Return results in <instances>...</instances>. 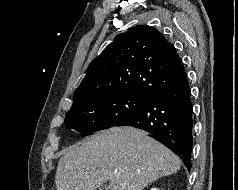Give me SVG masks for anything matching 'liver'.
<instances>
[{
    "label": "liver",
    "instance_id": "1",
    "mask_svg": "<svg viewBox=\"0 0 238 190\" xmlns=\"http://www.w3.org/2000/svg\"><path fill=\"white\" fill-rule=\"evenodd\" d=\"M180 159L133 127H113L63 151L55 175L57 190H143L175 174ZM117 170V171H116Z\"/></svg>",
    "mask_w": 238,
    "mask_h": 190
}]
</instances>
